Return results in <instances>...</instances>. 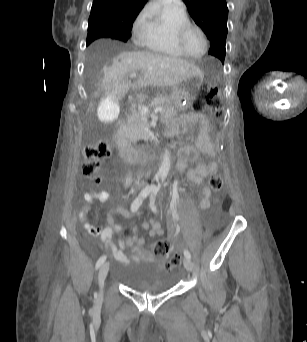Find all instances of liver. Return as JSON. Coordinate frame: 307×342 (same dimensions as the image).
<instances>
[{
	"instance_id": "6515ba94",
	"label": "liver",
	"mask_w": 307,
	"mask_h": 342,
	"mask_svg": "<svg viewBox=\"0 0 307 342\" xmlns=\"http://www.w3.org/2000/svg\"><path fill=\"white\" fill-rule=\"evenodd\" d=\"M119 56H106L104 67L99 73L104 74L102 84L107 95H119L124 98L130 88H175L184 80L198 76L200 70L195 64H190L181 58L152 54V52H127L119 50ZM141 72V76L131 82L130 74Z\"/></svg>"
}]
</instances>
